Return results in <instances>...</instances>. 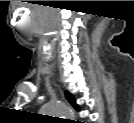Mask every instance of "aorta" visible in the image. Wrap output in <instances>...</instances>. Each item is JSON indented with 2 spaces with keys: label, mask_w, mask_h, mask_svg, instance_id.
I'll list each match as a JSON object with an SVG mask.
<instances>
[{
  "label": "aorta",
  "mask_w": 134,
  "mask_h": 123,
  "mask_svg": "<svg viewBox=\"0 0 134 123\" xmlns=\"http://www.w3.org/2000/svg\"><path fill=\"white\" fill-rule=\"evenodd\" d=\"M41 112L43 115L53 116V117H71L73 112L72 110L61 103H47L42 106Z\"/></svg>",
  "instance_id": "obj_1"
}]
</instances>
